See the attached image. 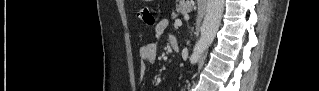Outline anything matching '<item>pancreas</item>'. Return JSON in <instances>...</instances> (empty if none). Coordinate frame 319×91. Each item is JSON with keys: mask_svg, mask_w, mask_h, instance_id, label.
Listing matches in <instances>:
<instances>
[{"mask_svg": "<svg viewBox=\"0 0 319 91\" xmlns=\"http://www.w3.org/2000/svg\"><path fill=\"white\" fill-rule=\"evenodd\" d=\"M177 13L173 15V18L177 17L179 13L185 14L191 11V6L180 4L176 8Z\"/></svg>", "mask_w": 319, "mask_h": 91, "instance_id": "1", "label": "pancreas"}]
</instances>
